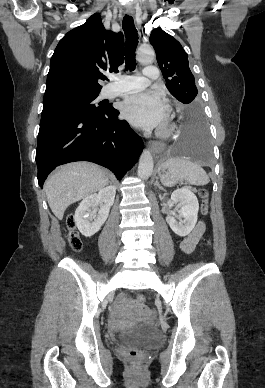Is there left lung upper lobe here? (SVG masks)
Segmentation results:
<instances>
[{
    "label": "left lung upper lobe",
    "mask_w": 265,
    "mask_h": 388,
    "mask_svg": "<svg viewBox=\"0 0 265 388\" xmlns=\"http://www.w3.org/2000/svg\"><path fill=\"white\" fill-rule=\"evenodd\" d=\"M150 43L156 51L158 65L170 93L181 102L184 110L201 109L194 76L189 68L188 55L181 44L160 28L151 32Z\"/></svg>",
    "instance_id": "left-lung-upper-lobe-1"
}]
</instances>
